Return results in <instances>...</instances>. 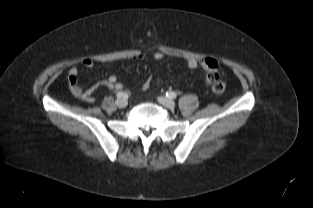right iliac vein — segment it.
Wrapping results in <instances>:
<instances>
[{
	"mask_svg": "<svg viewBox=\"0 0 313 208\" xmlns=\"http://www.w3.org/2000/svg\"><path fill=\"white\" fill-rule=\"evenodd\" d=\"M128 102H127V99L125 98H119L116 100V105L119 107V108H125L127 106Z\"/></svg>",
	"mask_w": 313,
	"mask_h": 208,
	"instance_id": "63e3f726",
	"label": "right iliac vein"
}]
</instances>
